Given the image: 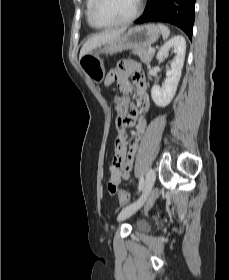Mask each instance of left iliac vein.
Here are the masks:
<instances>
[{"instance_id":"4c4485c4","label":"left iliac vein","mask_w":229,"mask_h":280,"mask_svg":"<svg viewBox=\"0 0 229 280\" xmlns=\"http://www.w3.org/2000/svg\"><path fill=\"white\" fill-rule=\"evenodd\" d=\"M154 182H155V170L153 168H151L146 175L145 185H144L142 194L136 201H134L132 204H130L127 207L122 209V211L118 215L119 221L130 217L143 206V204L147 200V198L153 188Z\"/></svg>"}]
</instances>
